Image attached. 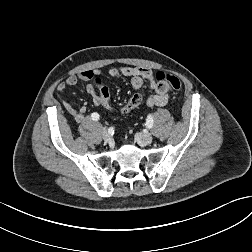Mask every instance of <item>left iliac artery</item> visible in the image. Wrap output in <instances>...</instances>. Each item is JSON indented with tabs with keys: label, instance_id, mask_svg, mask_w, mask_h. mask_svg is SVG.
<instances>
[{
	"label": "left iliac artery",
	"instance_id": "left-iliac-artery-1",
	"mask_svg": "<svg viewBox=\"0 0 252 252\" xmlns=\"http://www.w3.org/2000/svg\"><path fill=\"white\" fill-rule=\"evenodd\" d=\"M146 126L152 128L153 126V117L149 114L146 119Z\"/></svg>",
	"mask_w": 252,
	"mask_h": 252
}]
</instances>
